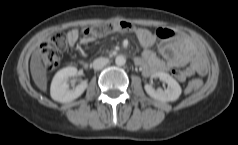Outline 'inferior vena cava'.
Returning a JSON list of instances; mask_svg holds the SVG:
<instances>
[{"label":"inferior vena cava","mask_w":238,"mask_h":145,"mask_svg":"<svg viewBox=\"0 0 238 145\" xmlns=\"http://www.w3.org/2000/svg\"><path fill=\"white\" fill-rule=\"evenodd\" d=\"M109 60L108 58L105 57H99L97 59H95L92 63V67L95 70H100L102 69L104 66H106L108 64Z\"/></svg>","instance_id":"602c4592"}]
</instances>
